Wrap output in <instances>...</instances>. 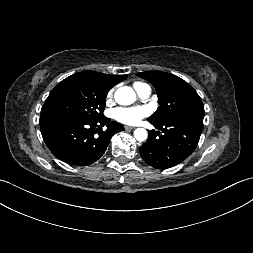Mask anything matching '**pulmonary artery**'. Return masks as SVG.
Wrapping results in <instances>:
<instances>
[{"label":"pulmonary artery","mask_w":253,"mask_h":253,"mask_svg":"<svg viewBox=\"0 0 253 253\" xmlns=\"http://www.w3.org/2000/svg\"><path fill=\"white\" fill-rule=\"evenodd\" d=\"M150 93H151V89H150L149 86H145V87H143L142 89H140V90L138 91V95H139L142 99L148 98L149 95H150Z\"/></svg>","instance_id":"e3ab8cb5"}]
</instances>
